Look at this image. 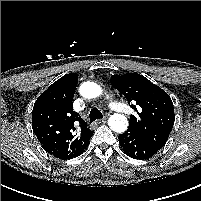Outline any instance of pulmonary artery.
Instances as JSON below:
<instances>
[{"mask_svg": "<svg viewBox=\"0 0 201 201\" xmlns=\"http://www.w3.org/2000/svg\"><path fill=\"white\" fill-rule=\"evenodd\" d=\"M110 107L119 113H123V114H127V115L131 113V109L129 106H127V104L123 103L122 101L117 100L114 97L111 98Z\"/></svg>", "mask_w": 201, "mask_h": 201, "instance_id": "e3ab8cb5", "label": "pulmonary artery"}]
</instances>
